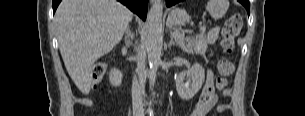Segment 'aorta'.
Wrapping results in <instances>:
<instances>
[{
  "label": "aorta",
  "mask_w": 305,
  "mask_h": 116,
  "mask_svg": "<svg viewBox=\"0 0 305 116\" xmlns=\"http://www.w3.org/2000/svg\"><path fill=\"white\" fill-rule=\"evenodd\" d=\"M162 16L163 4L158 0L153 4L148 12L145 28H144V42L148 55V62L150 67V80L154 83L156 71L161 63V49H162Z\"/></svg>",
  "instance_id": "aorta-1"
}]
</instances>
